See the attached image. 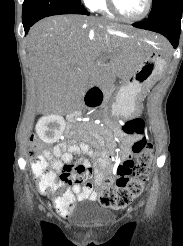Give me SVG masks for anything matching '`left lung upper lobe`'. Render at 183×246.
I'll list each match as a JSON object with an SVG mask.
<instances>
[{
    "label": "left lung upper lobe",
    "instance_id": "1",
    "mask_svg": "<svg viewBox=\"0 0 183 246\" xmlns=\"http://www.w3.org/2000/svg\"><path fill=\"white\" fill-rule=\"evenodd\" d=\"M170 1L172 0H153L152 10L149 16L158 12L161 8H163Z\"/></svg>",
    "mask_w": 183,
    "mask_h": 246
}]
</instances>
